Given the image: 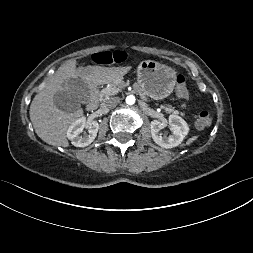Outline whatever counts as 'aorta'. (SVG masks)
Here are the masks:
<instances>
[{
	"label": "aorta",
	"instance_id": "aorta-1",
	"mask_svg": "<svg viewBox=\"0 0 253 253\" xmlns=\"http://www.w3.org/2000/svg\"><path fill=\"white\" fill-rule=\"evenodd\" d=\"M135 101H136V99H135V97L133 95H129V96L126 97V103L128 105L134 104Z\"/></svg>",
	"mask_w": 253,
	"mask_h": 253
}]
</instances>
